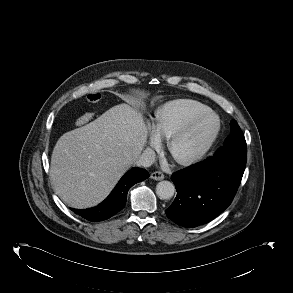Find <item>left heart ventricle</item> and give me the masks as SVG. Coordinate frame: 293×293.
I'll return each instance as SVG.
<instances>
[{
    "label": "left heart ventricle",
    "instance_id": "obj_1",
    "mask_svg": "<svg viewBox=\"0 0 293 293\" xmlns=\"http://www.w3.org/2000/svg\"><path fill=\"white\" fill-rule=\"evenodd\" d=\"M213 128L211 119L204 120L197 124L185 136L179 139L173 147V155L183 159L194 155L203 145Z\"/></svg>",
    "mask_w": 293,
    "mask_h": 293
}]
</instances>
